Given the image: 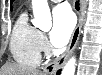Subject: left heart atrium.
<instances>
[{"instance_id": "obj_1", "label": "left heart atrium", "mask_w": 102, "mask_h": 75, "mask_svg": "<svg viewBox=\"0 0 102 75\" xmlns=\"http://www.w3.org/2000/svg\"><path fill=\"white\" fill-rule=\"evenodd\" d=\"M75 23V16L67 4H61L54 9L53 26L50 32V41L54 47L60 48L68 43Z\"/></svg>"}]
</instances>
